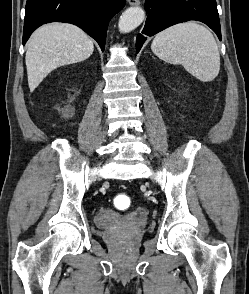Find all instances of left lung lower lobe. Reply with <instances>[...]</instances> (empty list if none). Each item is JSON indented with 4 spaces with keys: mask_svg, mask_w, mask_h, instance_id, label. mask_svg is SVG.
Listing matches in <instances>:
<instances>
[{
    "mask_svg": "<svg viewBox=\"0 0 249 294\" xmlns=\"http://www.w3.org/2000/svg\"><path fill=\"white\" fill-rule=\"evenodd\" d=\"M148 17L141 34L136 39L138 53L147 36L162 31L177 23L197 20L207 24L221 40V29L216 0H147Z\"/></svg>",
    "mask_w": 249,
    "mask_h": 294,
    "instance_id": "0a47b994",
    "label": "left lung lower lobe"
}]
</instances>
